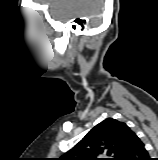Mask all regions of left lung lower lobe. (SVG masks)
I'll return each mask as SVG.
<instances>
[{"mask_svg": "<svg viewBox=\"0 0 158 160\" xmlns=\"http://www.w3.org/2000/svg\"><path fill=\"white\" fill-rule=\"evenodd\" d=\"M125 160H150L143 142L136 135Z\"/></svg>", "mask_w": 158, "mask_h": 160, "instance_id": "0a47b994", "label": "left lung lower lobe"}]
</instances>
